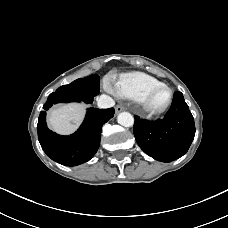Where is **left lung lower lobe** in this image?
<instances>
[{
	"instance_id": "left-lung-lower-lobe-1",
	"label": "left lung lower lobe",
	"mask_w": 228,
	"mask_h": 228,
	"mask_svg": "<svg viewBox=\"0 0 228 228\" xmlns=\"http://www.w3.org/2000/svg\"><path fill=\"white\" fill-rule=\"evenodd\" d=\"M134 118L133 132L139 147L156 160L171 162L180 158L194 139V119L181 92L174 93L172 105L163 119Z\"/></svg>"
}]
</instances>
